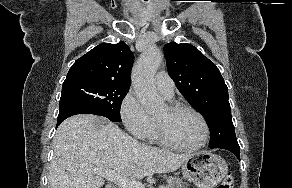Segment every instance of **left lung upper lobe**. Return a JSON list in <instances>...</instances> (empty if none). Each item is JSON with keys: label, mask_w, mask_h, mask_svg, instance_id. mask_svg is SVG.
<instances>
[{"label": "left lung upper lobe", "mask_w": 292, "mask_h": 188, "mask_svg": "<svg viewBox=\"0 0 292 188\" xmlns=\"http://www.w3.org/2000/svg\"><path fill=\"white\" fill-rule=\"evenodd\" d=\"M167 69L181 94L204 116L210 128V148L237 140L228 88L216 65L196 47L170 42L164 46Z\"/></svg>", "instance_id": "obj_1"}]
</instances>
